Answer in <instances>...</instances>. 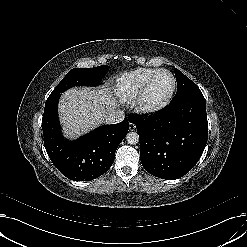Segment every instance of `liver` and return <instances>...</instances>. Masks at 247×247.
<instances>
[{
	"label": "liver",
	"instance_id": "liver-1",
	"mask_svg": "<svg viewBox=\"0 0 247 247\" xmlns=\"http://www.w3.org/2000/svg\"><path fill=\"white\" fill-rule=\"evenodd\" d=\"M116 108V99L108 88H72L64 92L58 105L64 133L75 137L104 122L106 115Z\"/></svg>",
	"mask_w": 247,
	"mask_h": 247
}]
</instances>
